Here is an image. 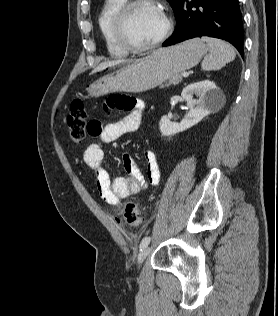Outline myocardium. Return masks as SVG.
I'll use <instances>...</instances> for the list:
<instances>
[{
	"label": "myocardium",
	"mask_w": 278,
	"mask_h": 316,
	"mask_svg": "<svg viewBox=\"0 0 278 316\" xmlns=\"http://www.w3.org/2000/svg\"><path fill=\"white\" fill-rule=\"evenodd\" d=\"M148 4L156 7L165 22L164 30L156 38L154 41L143 44L137 45L131 41L127 33V21L131 12L138 6ZM173 29V20L165 7L158 2L157 0H127V2L121 7V9L117 12L115 19H114V31L116 38L121 46H123L127 51L140 53L144 52L153 48H156L160 44H162L171 34Z\"/></svg>",
	"instance_id": "myocardium-1"
}]
</instances>
